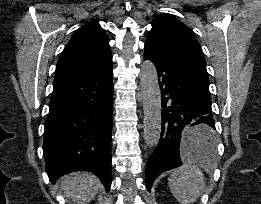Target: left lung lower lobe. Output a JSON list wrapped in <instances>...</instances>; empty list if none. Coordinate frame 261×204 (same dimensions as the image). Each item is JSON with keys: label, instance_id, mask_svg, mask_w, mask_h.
Returning a JSON list of instances; mask_svg holds the SVG:
<instances>
[{"label": "left lung lower lobe", "instance_id": "obj_1", "mask_svg": "<svg viewBox=\"0 0 261 204\" xmlns=\"http://www.w3.org/2000/svg\"><path fill=\"white\" fill-rule=\"evenodd\" d=\"M144 59L157 68L163 108L160 140L146 165L145 182L150 191L160 173L182 164L181 155L209 153L198 143L213 139L215 123L207 72L154 42L146 41Z\"/></svg>", "mask_w": 261, "mask_h": 204}]
</instances>
